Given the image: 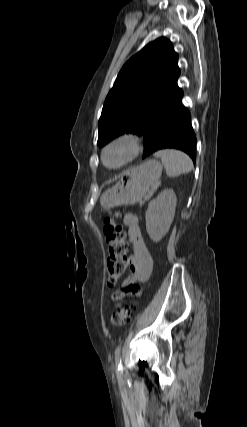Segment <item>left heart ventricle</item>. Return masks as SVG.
Instances as JSON below:
<instances>
[{
    "label": "left heart ventricle",
    "mask_w": 247,
    "mask_h": 427,
    "mask_svg": "<svg viewBox=\"0 0 247 427\" xmlns=\"http://www.w3.org/2000/svg\"><path fill=\"white\" fill-rule=\"evenodd\" d=\"M124 157V151L122 149H113L107 155V160L109 163H117Z\"/></svg>",
    "instance_id": "left-heart-ventricle-1"
}]
</instances>
